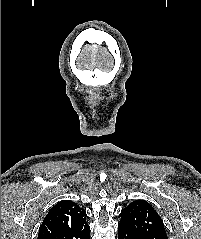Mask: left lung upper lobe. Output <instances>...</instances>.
Segmentation results:
<instances>
[{
    "label": "left lung upper lobe",
    "instance_id": "obj_1",
    "mask_svg": "<svg viewBox=\"0 0 201 239\" xmlns=\"http://www.w3.org/2000/svg\"><path fill=\"white\" fill-rule=\"evenodd\" d=\"M120 224L132 229L144 239H168L164 224L153 209L143 200L130 203L121 213Z\"/></svg>",
    "mask_w": 201,
    "mask_h": 239
}]
</instances>
